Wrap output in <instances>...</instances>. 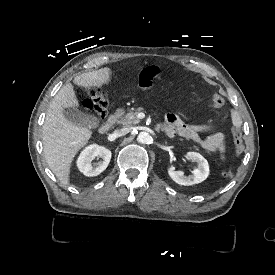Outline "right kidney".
I'll return each instance as SVG.
<instances>
[{
    "instance_id": "right-kidney-1",
    "label": "right kidney",
    "mask_w": 275,
    "mask_h": 275,
    "mask_svg": "<svg viewBox=\"0 0 275 275\" xmlns=\"http://www.w3.org/2000/svg\"><path fill=\"white\" fill-rule=\"evenodd\" d=\"M112 157V153L109 149L103 146L91 145L87 147L80 155L77 165L79 170L86 176H96L103 172ZM96 158H101L98 164H92V161Z\"/></svg>"
}]
</instances>
